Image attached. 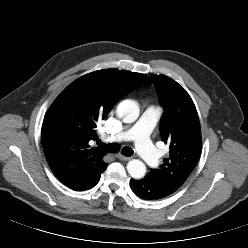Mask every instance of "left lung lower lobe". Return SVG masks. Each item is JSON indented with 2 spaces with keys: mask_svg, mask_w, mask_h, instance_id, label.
I'll return each instance as SVG.
<instances>
[{
  "mask_svg": "<svg viewBox=\"0 0 248 248\" xmlns=\"http://www.w3.org/2000/svg\"><path fill=\"white\" fill-rule=\"evenodd\" d=\"M130 186L134 193L142 199L158 200L168 195L157 184L149 181L146 177L141 180H130Z\"/></svg>",
  "mask_w": 248,
  "mask_h": 248,
  "instance_id": "1",
  "label": "left lung lower lobe"
}]
</instances>
